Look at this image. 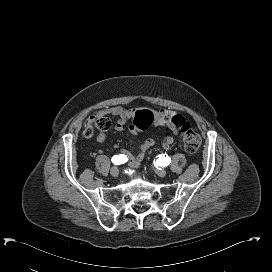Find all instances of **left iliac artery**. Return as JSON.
Wrapping results in <instances>:
<instances>
[{"label":"left iliac artery","instance_id":"left-iliac-artery-1","mask_svg":"<svg viewBox=\"0 0 272 272\" xmlns=\"http://www.w3.org/2000/svg\"><path fill=\"white\" fill-rule=\"evenodd\" d=\"M171 163V158L168 155H160L159 158L156 160V164L159 166H168ZM155 164V165H156Z\"/></svg>","mask_w":272,"mask_h":272}]
</instances>
